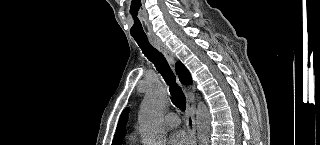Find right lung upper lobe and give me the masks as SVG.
Wrapping results in <instances>:
<instances>
[{
  "label": "right lung upper lobe",
  "instance_id": "obj_1",
  "mask_svg": "<svg viewBox=\"0 0 320 145\" xmlns=\"http://www.w3.org/2000/svg\"><path fill=\"white\" fill-rule=\"evenodd\" d=\"M176 72L179 75V79L183 84L185 85L192 84V79L189 71L180 61L176 63ZM127 119H128V109H125L120 116L116 133L112 142L113 145H120L121 141L125 137L124 130H125Z\"/></svg>",
  "mask_w": 320,
  "mask_h": 145
}]
</instances>
